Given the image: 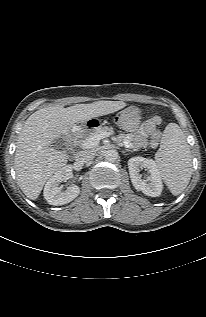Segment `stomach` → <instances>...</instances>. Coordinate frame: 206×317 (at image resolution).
Wrapping results in <instances>:
<instances>
[{"label":"stomach","mask_w":206,"mask_h":317,"mask_svg":"<svg viewBox=\"0 0 206 317\" xmlns=\"http://www.w3.org/2000/svg\"><path fill=\"white\" fill-rule=\"evenodd\" d=\"M114 123V120L112 116L108 114H99V115H90L83 119L79 126L78 129L80 133L83 130H86L87 132L92 129V128H98L99 126H112Z\"/></svg>","instance_id":"stomach-1"}]
</instances>
